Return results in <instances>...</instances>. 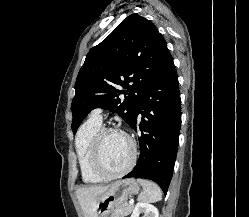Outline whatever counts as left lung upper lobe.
Masks as SVG:
<instances>
[{
	"instance_id": "1",
	"label": "left lung upper lobe",
	"mask_w": 249,
	"mask_h": 217,
	"mask_svg": "<svg viewBox=\"0 0 249 217\" xmlns=\"http://www.w3.org/2000/svg\"><path fill=\"white\" fill-rule=\"evenodd\" d=\"M169 55L152 22L138 14L126 17L89 51L79 71L71 106L73 133L94 108L115 112L130 125L141 96ZM122 94L124 100L119 98Z\"/></svg>"
}]
</instances>
